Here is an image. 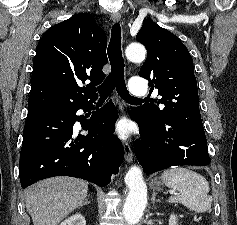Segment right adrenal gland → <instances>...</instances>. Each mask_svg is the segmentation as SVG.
<instances>
[{"label":"right adrenal gland","instance_id":"obj_1","mask_svg":"<svg viewBox=\"0 0 237 225\" xmlns=\"http://www.w3.org/2000/svg\"><path fill=\"white\" fill-rule=\"evenodd\" d=\"M90 202L88 201V199H85V201L83 202V204H81V206H84V205H87L89 204Z\"/></svg>","mask_w":237,"mask_h":225}]
</instances>
